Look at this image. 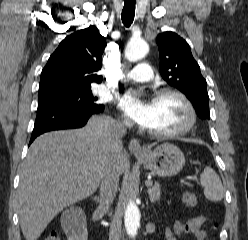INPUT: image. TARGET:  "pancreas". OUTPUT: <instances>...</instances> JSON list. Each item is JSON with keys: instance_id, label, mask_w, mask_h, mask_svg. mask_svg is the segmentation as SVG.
I'll return each instance as SVG.
<instances>
[{"instance_id": "pancreas-1", "label": "pancreas", "mask_w": 248, "mask_h": 240, "mask_svg": "<svg viewBox=\"0 0 248 240\" xmlns=\"http://www.w3.org/2000/svg\"><path fill=\"white\" fill-rule=\"evenodd\" d=\"M148 194L151 202H156L160 200L161 197V189L158 184L148 186Z\"/></svg>"}]
</instances>
